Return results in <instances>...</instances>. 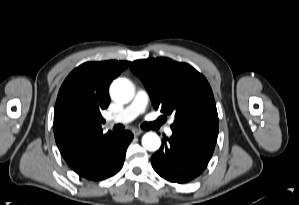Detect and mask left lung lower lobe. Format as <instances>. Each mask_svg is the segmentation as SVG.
<instances>
[{"label":"left lung lower lobe","instance_id":"left-lung-lower-lobe-1","mask_svg":"<svg viewBox=\"0 0 299 205\" xmlns=\"http://www.w3.org/2000/svg\"><path fill=\"white\" fill-rule=\"evenodd\" d=\"M218 130H173L164 138L161 148L152 156L154 170L173 183H187L198 177L207 167L213 154Z\"/></svg>","mask_w":299,"mask_h":205}]
</instances>
